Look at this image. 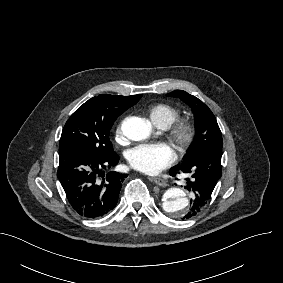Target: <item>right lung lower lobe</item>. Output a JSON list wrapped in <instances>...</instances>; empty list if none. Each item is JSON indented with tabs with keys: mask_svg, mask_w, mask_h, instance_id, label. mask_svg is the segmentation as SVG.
<instances>
[{
	"mask_svg": "<svg viewBox=\"0 0 283 283\" xmlns=\"http://www.w3.org/2000/svg\"><path fill=\"white\" fill-rule=\"evenodd\" d=\"M119 162L113 151L99 157L84 148L59 153L57 177L72 208L86 218H100L117 204L122 182L127 175L105 172Z\"/></svg>",
	"mask_w": 283,
	"mask_h": 283,
	"instance_id": "1",
	"label": "right lung lower lobe"
}]
</instances>
